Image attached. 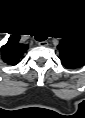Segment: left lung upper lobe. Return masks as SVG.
<instances>
[{
  "mask_svg": "<svg viewBox=\"0 0 85 118\" xmlns=\"http://www.w3.org/2000/svg\"><path fill=\"white\" fill-rule=\"evenodd\" d=\"M58 48L60 50L62 64L67 68L76 67L75 57L71 49L65 45H60Z\"/></svg>",
  "mask_w": 85,
  "mask_h": 118,
  "instance_id": "1",
  "label": "left lung upper lobe"
}]
</instances>
